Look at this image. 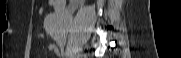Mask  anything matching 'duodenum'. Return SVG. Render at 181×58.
Returning <instances> with one entry per match:
<instances>
[{"mask_svg":"<svg viewBox=\"0 0 181 58\" xmlns=\"http://www.w3.org/2000/svg\"><path fill=\"white\" fill-rule=\"evenodd\" d=\"M78 2H79V0H72L71 4L76 5ZM54 5L57 10L62 11L66 8L67 1L66 0H55Z\"/></svg>","mask_w":181,"mask_h":58,"instance_id":"obj_1","label":"duodenum"}]
</instances>
